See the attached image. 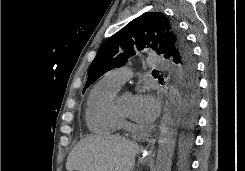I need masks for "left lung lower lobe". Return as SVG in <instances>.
I'll list each match as a JSON object with an SVG mask.
<instances>
[{
  "mask_svg": "<svg viewBox=\"0 0 245 171\" xmlns=\"http://www.w3.org/2000/svg\"><path fill=\"white\" fill-rule=\"evenodd\" d=\"M174 63V79L178 83L181 94L180 110L184 126V131L178 136L177 145L179 153L184 159L193 144L190 130L195 123L198 107V80L196 74V61H175Z\"/></svg>",
  "mask_w": 245,
  "mask_h": 171,
  "instance_id": "left-lung-lower-lobe-1",
  "label": "left lung lower lobe"
}]
</instances>
